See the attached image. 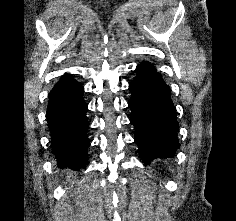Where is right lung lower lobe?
Returning a JSON list of instances; mask_svg holds the SVG:
<instances>
[{
    "label": "right lung lower lobe",
    "mask_w": 236,
    "mask_h": 221,
    "mask_svg": "<svg viewBox=\"0 0 236 221\" xmlns=\"http://www.w3.org/2000/svg\"><path fill=\"white\" fill-rule=\"evenodd\" d=\"M83 87L65 74L49 94L47 121L52 140V151L60 166L85 167L87 161V104Z\"/></svg>",
    "instance_id": "1"
}]
</instances>
